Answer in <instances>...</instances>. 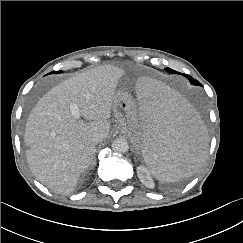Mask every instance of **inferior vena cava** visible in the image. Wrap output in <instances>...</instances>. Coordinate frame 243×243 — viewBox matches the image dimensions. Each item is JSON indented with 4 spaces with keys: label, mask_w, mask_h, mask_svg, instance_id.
Masks as SVG:
<instances>
[{
    "label": "inferior vena cava",
    "mask_w": 243,
    "mask_h": 243,
    "mask_svg": "<svg viewBox=\"0 0 243 243\" xmlns=\"http://www.w3.org/2000/svg\"><path fill=\"white\" fill-rule=\"evenodd\" d=\"M103 139H104V135L103 134H95L93 137H92V141L95 143V144H97V143H99V142H101V141H103Z\"/></svg>",
    "instance_id": "inferior-vena-cava-1"
}]
</instances>
